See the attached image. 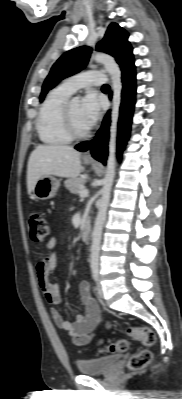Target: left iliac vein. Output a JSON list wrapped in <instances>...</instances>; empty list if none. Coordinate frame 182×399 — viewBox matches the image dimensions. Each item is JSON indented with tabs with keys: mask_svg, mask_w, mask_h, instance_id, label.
I'll return each instance as SVG.
<instances>
[{
	"mask_svg": "<svg viewBox=\"0 0 182 399\" xmlns=\"http://www.w3.org/2000/svg\"><path fill=\"white\" fill-rule=\"evenodd\" d=\"M96 287H97V295H98V297L99 298H103L104 297V293H103L102 286H101V284L99 282H97Z\"/></svg>",
	"mask_w": 182,
	"mask_h": 399,
	"instance_id": "left-iliac-vein-1",
	"label": "left iliac vein"
}]
</instances>
